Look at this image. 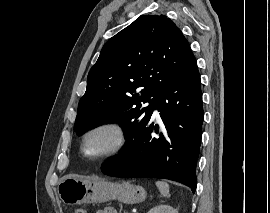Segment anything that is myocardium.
I'll list each match as a JSON object with an SVG mask.
<instances>
[{"label": "myocardium", "instance_id": "obj_1", "mask_svg": "<svg viewBox=\"0 0 270 213\" xmlns=\"http://www.w3.org/2000/svg\"><path fill=\"white\" fill-rule=\"evenodd\" d=\"M98 133L109 134L112 137V142L99 154H89L85 148L86 142L89 138ZM126 139V131L120 123L116 121L105 120L97 122L85 130L81 136L79 148L81 154L85 158L94 161H100L118 153L124 147Z\"/></svg>", "mask_w": 270, "mask_h": 213}]
</instances>
